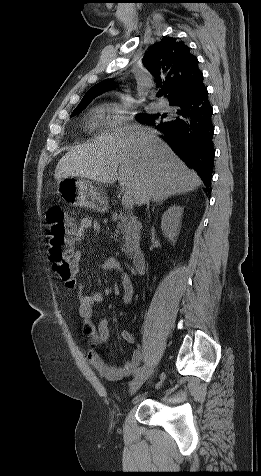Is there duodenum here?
<instances>
[{"label": "duodenum", "mask_w": 261, "mask_h": 476, "mask_svg": "<svg viewBox=\"0 0 261 476\" xmlns=\"http://www.w3.org/2000/svg\"><path fill=\"white\" fill-rule=\"evenodd\" d=\"M131 262L136 273L141 274L145 271L146 260L145 255L141 250L133 252L131 255Z\"/></svg>", "instance_id": "410a0bca"}]
</instances>
